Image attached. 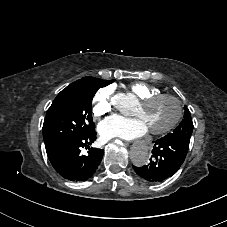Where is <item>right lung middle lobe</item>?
Listing matches in <instances>:
<instances>
[{"label": "right lung middle lobe", "instance_id": "1", "mask_svg": "<svg viewBox=\"0 0 227 227\" xmlns=\"http://www.w3.org/2000/svg\"><path fill=\"white\" fill-rule=\"evenodd\" d=\"M112 82L84 77L63 89L47 110L42 129L45 147L94 129L92 99L99 88Z\"/></svg>", "mask_w": 227, "mask_h": 227}]
</instances>
